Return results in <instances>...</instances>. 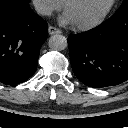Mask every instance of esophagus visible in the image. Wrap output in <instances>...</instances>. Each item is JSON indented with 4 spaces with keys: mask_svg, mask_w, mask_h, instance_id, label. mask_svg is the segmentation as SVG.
<instances>
[{
    "mask_svg": "<svg viewBox=\"0 0 128 128\" xmlns=\"http://www.w3.org/2000/svg\"><path fill=\"white\" fill-rule=\"evenodd\" d=\"M48 32H49V35L61 34V30H59L58 28L54 26H49Z\"/></svg>",
    "mask_w": 128,
    "mask_h": 128,
    "instance_id": "1",
    "label": "esophagus"
}]
</instances>
